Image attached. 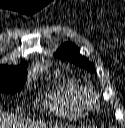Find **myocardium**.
<instances>
[{"label": "myocardium", "mask_w": 125, "mask_h": 128, "mask_svg": "<svg viewBox=\"0 0 125 128\" xmlns=\"http://www.w3.org/2000/svg\"><path fill=\"white\" fill-rule=\"evenodd\" d=\"M90 95H91V99H90V101H91L93 99L91 91H90Z\"/></svg>", "instance_id": "obj_1"}]
</instances>
